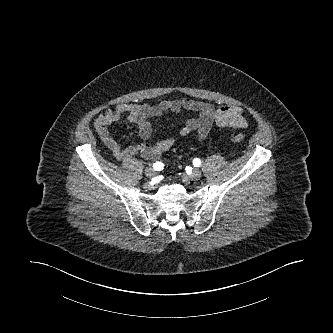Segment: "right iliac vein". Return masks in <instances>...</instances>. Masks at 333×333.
<instances>
[{
  "label": "right iliac vein",
  "instance_id": "right-iliac-vein-1",
  "mask_svg": "<svg viewBox=\"0 0 333 333\" xmlns=\"http://www.w3.org/2000/svg\"><path fill=\"white\" fill-rule=\"evenodd\" d=\"M145 175L147 177L151 178L155 175V171L152 168H146L145 169Z\"/></svg>",
  "mask_w": 333,
  "mask_h": 333
}]
</instances>
